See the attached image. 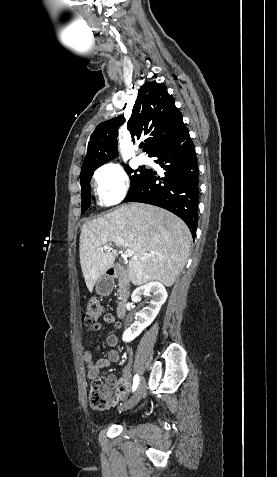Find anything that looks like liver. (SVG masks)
<instances>
[{
    "label": "liver",
    "mask_w": 277,
    "mask_h": 477,
    "mask_svg": "<svg viewBox=\"0 0 277 477\" xmlns=\"http://www.w3.org/2000/svg\"><path fill=\"white\" fill-rule=\"evenodd\" d=\"M191 242L187 225L171 212L143 203L123 205L82 226L79 256L86 286L92 292L113 266L117 252L98 249L114 243L134 251L128 263L132 284L159 281L170 287L188 260Z\"/></svg>",
    "instance_id": "obj_1"
}]
</instances>
